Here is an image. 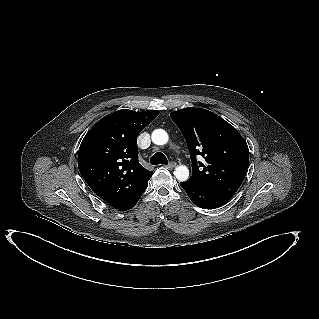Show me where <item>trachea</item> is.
Returning a JSON list of instances; mask_svg holds the SVG:
<instances>
[{
	"mask_svg": "<svg viewBox=\"0 0 319 319\" xmlns=\"http://www.w3.org/2000/svg\"><path fill=\"white\" fill-rule=\"evenodd\" d=\"M150 163L152 165H158V164H167L168 161L166 156L163 153L157 152L150 158Z\"/></svg>",
	"mask_w": 319,
	"mask_h": 319,
	"instance_id": "obj_1",
	"label": "trachea"
}]
</instances>
